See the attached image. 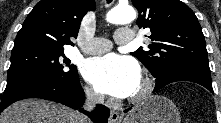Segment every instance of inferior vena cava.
I'll return each mask as SVG.
<instances>
[{
    "label": "inferior vena cava",
    "instance_id": "602c4592",
    "mask_svg": "<svg viewBox=\"0 0 221 123\" xmlns=\"http://www.w3.org/2000/svg\"><path fill=\"white\" fill-rule=\"evenodd\" d=\"M86 100L83 108L87 111H91L95 108L98 103L104 102V96L101 94H96L88 89H86ZM88 118L82 115V123H88Z\"/></svg>",
    "mask_w": 221,
    "mask_h": 123
}]
</instances>
